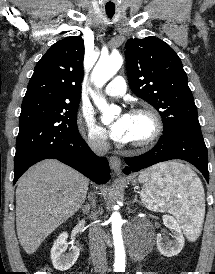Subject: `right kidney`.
I'll use <instances>...</instances> for the list:
<instances>
[{"label": "right kidney", "instance_id": "obj_1", "mask_svg": "<svg viewBox=\"0 0 215 274\" xmlns=\"http://www.w3.org/2000/svg\"><path fill=\"white\" fill-rule=\"evenodd\" d=\"M67 238V232L61 233L51 249L53 266L59 271H66L70 269L75 264L80 254L78 247L68 245L66 241Z\"/></svg>", "mask_w": 215, "mask_h": 274}]
</instances>
